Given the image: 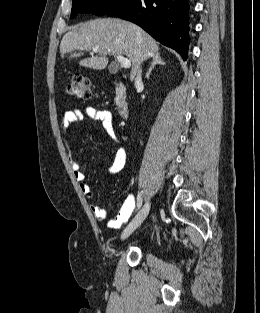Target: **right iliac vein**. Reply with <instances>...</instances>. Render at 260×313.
Wrapping results in <instances>:
<instances>
[{
    "mask_svg": "<svg viewBox=\"0 0 260 313\" xmlns=\"http://www.w3.org/2000/svg\"><path fill=\"white\" fill-rule=\"evenodd\" d=\"M149 211H150V202L147 201L143 205V207L140 209V211L137 213V215L134 217V219L129 223V225L123 231L122 240L130 236L135 231V229L141 225V223L147 217Z\"/></svg>",
    "mask_w": 260,
    "mask_h": 313,
    "instance_id": "right-iliac-vein-1",
    "label": "right iliac vein"
}]
</instances>
